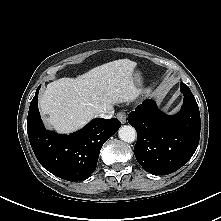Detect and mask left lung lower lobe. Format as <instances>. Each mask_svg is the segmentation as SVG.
<instances>
[{
  "label": "left lung lower lobe",
  "instance_id": "0a47b994",
  "mask_svg": "<svg viewBox=\"0 0 221 221\" xmlns=\"http://www.w3.org/2000/svg\"><path fill=\"white\" fill-rule=\"evenodd\" d=\"M184 101L181 111L170 116L148 99L128 115L137 131L134 154L149 173L168 175L181 168L194 154L200 138V112L187 85L181 82Z\"/></svg>",
  "mask_w": 221,
  "mask_h": 221
}]
</instances>
